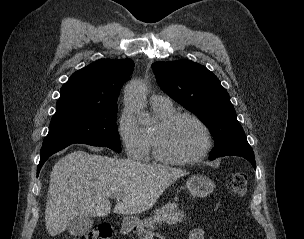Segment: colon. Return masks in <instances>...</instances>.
<instances>
[{"mask_svg": "<svg viewBox=\"0 0 304 239\" xmlns=\"http://www.w3.org/2000/svg\"><path fill=\"white\" fill-rule=\"evenodd\" d=\"M226 187L231 195L236 197L244 196L247 190V175L244 173L232 175L228 179ZM111 236V226L109 224H101L76 239H110Z\"/></svg>", "mask_w": 304, "mask_h": 239, "instance_id": "colon-1", "label": "colon"}]
</instances>
